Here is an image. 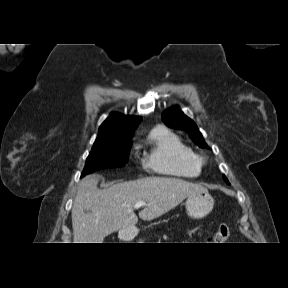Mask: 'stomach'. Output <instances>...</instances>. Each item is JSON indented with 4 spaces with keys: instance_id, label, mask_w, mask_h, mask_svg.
<instances>
[{
    "instance_id": "0dacf381",
    "label": "stomach",
    "mask_w": 288,
    "mask_h": 288,
    "mask_svg": "<svg viewBox=\"0 0 288 288\" xmlns=\"http://www.w3.org/2000/svg\"><path fill=\"white\" fill-rule=\"evenodd\" d=\"M187 213L190 217L200 219L208 215L214 206V199L207 189L200 190L187 197L185 202ZM137 230L119 233L123 240H130L135 237Z\"/></svg>"
}]
</instances>
